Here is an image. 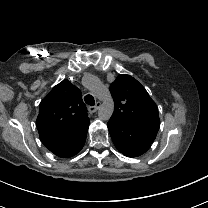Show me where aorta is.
Instances as JSON below:
<instances>
[{"label": "aorta", "mask_w": 208, "mask_h": 208, "mask_svg": "<svg viewBox=\"0 0 208 208\" xmlns=\"http://www.w3.org/2000/svg\"><path fill=\"white\" fill-rule=\"evenodd\" d=\"M113 113V104H110L109 107L103 103L98 108V118L103 121L110 119Z\"/></svg>", "instance_id": "1"}]
</instances>
